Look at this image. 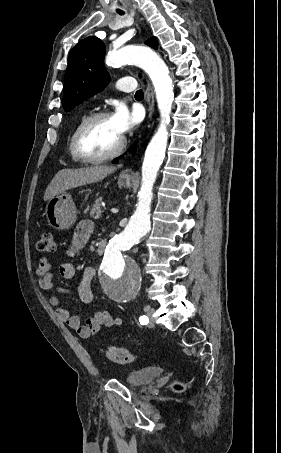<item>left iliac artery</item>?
<instances>
[{"instance_id":"1","label":"left iliac artery","mask_w":281,"mask_h":453,"mask_svg":"<svg viewBox=\"0 0 281 453\" xmlns=\"http://www.w3.org/2000/svg\"><path fill=\"white\" fill-rule=\"evenodd\" d=\"M139 321H140V324H142V325L148 324L149 318L147 316L143 315L139 318Z\"/></svg>"}]
</instances>
